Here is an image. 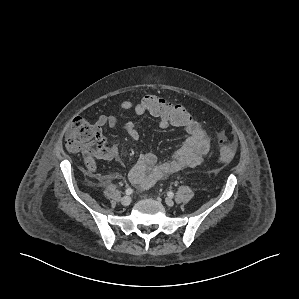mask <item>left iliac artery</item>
<instances>
[{"label":"left iliac artery","mask_w":299,"mask_h":299,"mask_svg":"<svg viewBox=\"0 0 299 299\" xmlns=\"http://www.w3.org/2000/svg\"><path fill=\"white\" fill-rule=\"evenodd\" d=\"M167 195H168L170 198H172V197L174 196V193H173L172 191H169V192L167 193Z\"/></svg>","instance_id":"left-iliac-artery-1"}]
</instances>
